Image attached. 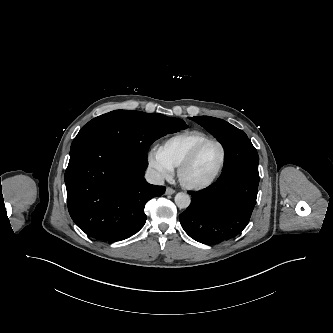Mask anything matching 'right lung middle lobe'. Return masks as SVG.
Returning a JSON list of instances; mask_svg holds the SVG:
<instances>
[{"mask_svg":"<svg viewBox=\"0 0 333 333\" xmlns=\"http://www.w3.org/2000/svg\"><path fill=\"white\" fill-rule=\"evenodd\" d=\"M186 127L183 120L158 113L115 110L89 121L79 131L71 146L86 140H96L147 162V151L155 140Z\"/></svg>","mask_w":333,"mask_h":333,"instance_id":"obj_1","label":"right lung middle lobe"}]
</instances>
